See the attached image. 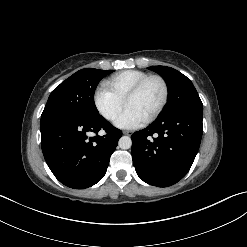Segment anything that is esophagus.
<instances>
[{
  "label": "esophagus",
  "mask_w": 247,
  "mask_h": 247,
  "mask_svg": "<svg viewBox=\"0 0 247 247\" xmlns=\"http://www.w3.org/2000/svg\"><path fill=\"white\" fill-rule=\"evenodd\" d=\"M123 134L124 135H128V136H131L132 135V131H123Z\"/></svg>",
  "instance_id": "1"
}]
</instances>
